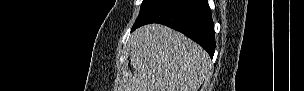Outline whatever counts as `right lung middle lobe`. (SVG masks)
Here are the masks:
<instances>
[{
    "mask_svg": "<svg viewBox=\"0 0 304 91\" xmlns=\"http://www.w3.org/2000/svg\"><path fill=\"white\" fill-rule=\"evenodd\" d=\"M150 0H144L141 5L140 12L149 4ZM140 14V13H139Z\"/></svg>",
    "mask_w": 304,
    "mask_h": 91,
    "instance_id": "dd1d6c3e",
    "label": "right lung middle lobe"
}]
</instances>
